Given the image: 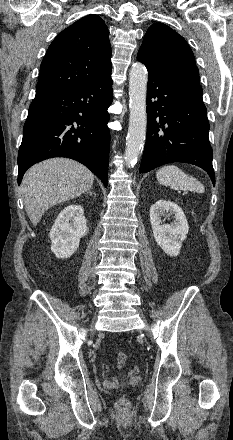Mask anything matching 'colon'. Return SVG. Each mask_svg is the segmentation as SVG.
I'll return each instance as SVG.
<instances>
[{"mask_svg":"<svg viewBox=\"0 0 233 440\" xmlns=\"http://www.w3.org/2000/svg\"><path fill=\"white\" fill-rule=\"evenodd\" d=\"M115 361L118 368L124 367L127 361V355L124 352H117L115 354ZM129 402L126 398H120L117 401L116 409L118 412H127L129 410Z\"/></svg>","mask_w":233,"mask_h":440,"instance_id":"obj_1","label":"colon"}]
</instances>
